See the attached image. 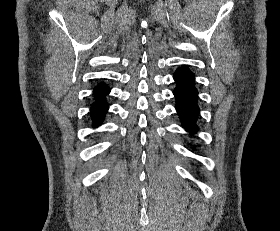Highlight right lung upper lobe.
I'll list each match as a JSON object with an SVG mask.
<instances>
[{
    "instance_id": "right-lung-upper-lobe-1",
    "label": "right lung upper lobe",
    "mask_w": 280,
    "mask_h": 231,
    "mask_svg": "<svg viewBox=\"0 0 280 231\" xmlns=\"http://www.w3.org/2000/svg\"><path fill=\"white\" fill-rule=\"evenodd\" d=\"M108 87L103 84V83H100L99 85H97L95 88H94V93L96 92H100V91H103V90H106Z\"/></svg>"
}]
</instances>
